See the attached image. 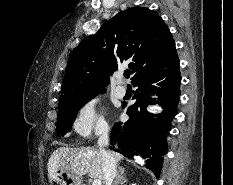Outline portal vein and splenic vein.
Segmentation results:
<instances>
[{"instance_id":"obj_1","label":"portal vein and splenic vein","mask_w":233,"mask_h":185,"mask_svg":"<svg viewBox=\"0 0 233 185\" xmlns=\"http://www.w3.org/2000/svg\"><path fill=\"white\" fill-rule=\"evenodd\" d=\"M92 185H101V180H100V179H95V180L92 182Z\"/></svg>"}]
</instances>
